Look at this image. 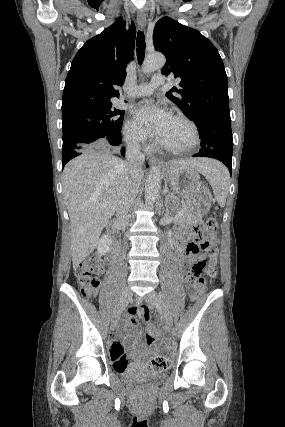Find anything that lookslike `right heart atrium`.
Segmentation results:
<instances>
[{"label": "right heart atrium", "mask_w": 285, "mask_h": 427, "mask_svg": "<svg viewBox=\"0 0 285 427\" xmlns=\"http://www.w3.org/2000/svg\"><path fill=\"white\" fill-rule=\"evenodd\" d=\"M126 140L134 147H141L149 141L146 130L135 120L129 119L124 126Z\"/></svg>", "instance_id": "right-heart-atrium-1"}]
</instances>
